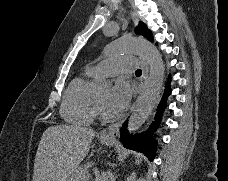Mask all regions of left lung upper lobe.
I'll return each mask as SVG.
<instances>
[{
  "instance_id": "5c2ea615",
  "label": "left lung upper lobe",
  "mask_w": 228,
  "mask_h": 181,
  "mask_svg": "<svg viewBox=\"0 0 228 181\" xmlns=\"http://www.w3.org/2000/svg\"><path fill=\"white\" fill-rule=\"evenodd\" d=\"M135 32H136V34L142 35V36L146 37L147 39L153 41L152 34L144 23L140 22L138 27L136 28Z\"/></svg>"
}]
</instances>
